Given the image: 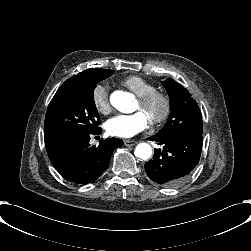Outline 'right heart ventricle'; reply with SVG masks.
<instances>
[{"label": "right heart ventricle", "instance_id": "obj_1", "mask_svg": "<svg viewBox=\"0 0 251 251\" xmlns=\"http://www.w3.org/2000/svg\"><path fill=\"white\" fill-rule=\"evenodd\" d=\"M122 84L132 90L138 96L156 90L153 83L139 75H129L122 80Z\"/></svg>", "mask_w": 251, "mask_h": 251}]
</instances>
